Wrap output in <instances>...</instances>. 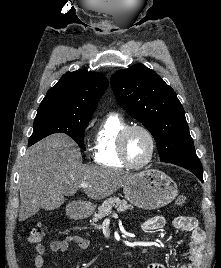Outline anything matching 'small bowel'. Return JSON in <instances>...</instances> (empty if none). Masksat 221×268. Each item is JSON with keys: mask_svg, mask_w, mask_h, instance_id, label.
<instances>
[{"mask_svg": "<svg viewBox=\"0 0 221 268\" xmlns=\"http://www.w3.org/2000/svg\"><path fill=\"white\" fill-rule=\"evenodd\" d=\"M166 220L162 216H154L146 220L143 228L146 231H155L163 228ZM173 225L176 229L189 233L188 236V253L185 263L181 268H199L203 255V245L205 242V233L198 226L196 218L192 216H178L174 219ZM70 244H75L78 248L86 250L89 247V240L80 235H68L63 239L54 240L46 247L43 244H37L35 251L37 255L34 258V265L41 268L45 265L44 254L47 249L53 252H64ZM147 268H165L160 263H152Z\"/></svg>", "mask_w": 221, "mask_h": 268, "instance_id": "small-bowel-1", "label": "small bowel"}]
</instances>
